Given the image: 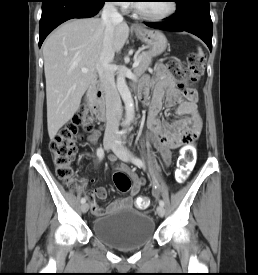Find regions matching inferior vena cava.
Here are the masks:
<instances>
[{
  "label": "inferior vena cava",
  "instance_id": "602c4592",
  "mask_svg": "<svg viewBox=\"0 0 258 275\" xmlns=\"http://www.w3.org/2000/svg\"><path fill=\"white\" fill-rule=\"evenodd\" d=\"M102 24L105 28L103 47L96 65L102 90L106 102V129L105 136H116L121 116V100L115 86L111 72V62L114 59L113 37L115 25L123 21L113 3H106L101 13Z\"/></svg>",
  "mask_w": 258,
  "mask_h": 275
}]
</instances>
